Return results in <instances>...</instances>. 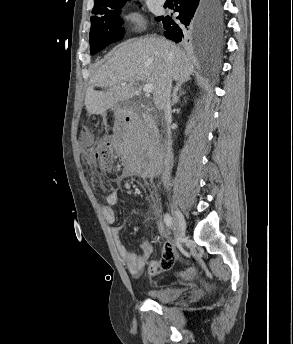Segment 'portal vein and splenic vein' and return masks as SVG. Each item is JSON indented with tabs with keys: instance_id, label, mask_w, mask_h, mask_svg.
Masks as SVG:
<instances>
[{
	"instance_id": "1",
	"label": "portal vein and splenic vein",
	"mask_w": 293,
	"mask_h": 344,
	"mask_svg": "<svg viewBox=\"0 0 293 344\" xmlns=\"http://www.w3.org/2000/svg\"><path fill=\"white\" fill-rule=\"evenodd\" d=\"M125 84L122 83V86H124ZM154 90V86L152 84H145L143 86V91L145 92V94H150L152 93Z\"/></svg>"
}]
</instances>
